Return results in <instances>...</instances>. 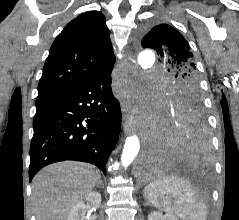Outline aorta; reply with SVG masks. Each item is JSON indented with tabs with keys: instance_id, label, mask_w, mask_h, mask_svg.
<instances>
[{
	"instance_id": "762f6f07",
	"label": "aorta",
	"mask_w": 239,
	"mask_h": 220,
	"mask_svg": "<svg viewBox=\"0 0 239 220\" xmlns=\"http://www.w3.org/2000/svg\"><path fill=\"white\" fill-rule=\"evenodd\" d=\"M132 60H138V65L142 69H149L153 71L154 64V48H143V51L139 52V55ZM140 150V141L137 135L133 134L126 138L122 154L121 164L127 168L136 158Z\"/></svg>"
}]
</instances>
